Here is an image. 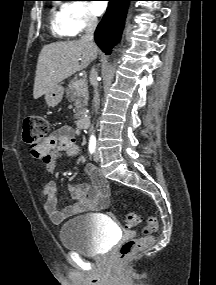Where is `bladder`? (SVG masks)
I'll return each instance as SVG.
<instances>
[{
    "label": "bladder",
    "instance_id": "obj_1",
    "mask_svg": "<svg viewBox=\"0 0 216 285\" xmlns=\"http://www.w3.org/2000/svg\"><path fill=\"white\" fill-rule=\"evenodd\" d=\"M116 229L96 215H81L65 222L60 229L64 248L82 255L99 256L106 253L116 238Z\"/></svg>",
    "mask_w": 216,
    "mask_h": 285
}]
</instances>
